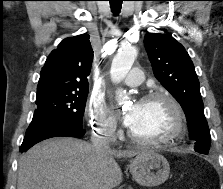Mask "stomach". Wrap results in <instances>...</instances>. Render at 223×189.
Listing matches in <instances>:
<instances>
[{"label": "stomach", "instance_id": "1", "mask_svg": "<svg viewBox=\"0 0 223 189\" xmlns=\"http://www.w3.org/2000/svg\"><path fill=\"white\" fill-rule=\"evenodd\" d=\"M134 180L147 187L164 183L170 173L169 163L162 155L153 151H142L130 162Z\"/></svg>", "mask_w": 223, "mask_h": 189}]
</instances>
